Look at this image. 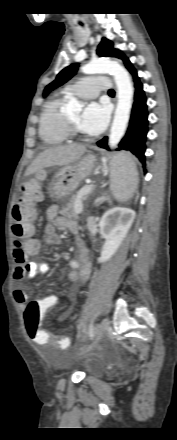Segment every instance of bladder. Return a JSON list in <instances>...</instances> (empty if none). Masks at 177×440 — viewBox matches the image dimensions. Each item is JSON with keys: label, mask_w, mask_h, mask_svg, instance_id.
<instances>
[{"label": "bladder", "mask_w": 177, "mask_h": 440, "mask_svg": "<svg viewBox=\"0 0 177 440\" xmlns=\"http://www.w3.org/2000/svg\"><path fill=\"white\" fill-rule=\"evenodd\" d=\"M80 366L89 377H98L103 372L102 361L97 357H87L80 362Z\"/></svg>", "instance_id": "bladder-1"}]
</instances>
